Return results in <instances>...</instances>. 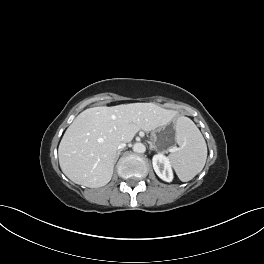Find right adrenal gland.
<instances>
[{"label":"right adrenal gland","instance_id":"1","mask_svg":"<svg viewBox=\"0 0 264 264\" xmlns=\"http://www.w3.org/2000/svg\"><path fill=\"white\" fill-rule=\"evenodd\" d=\"M121 151H122V150H118V152H117V156H116V159H115V163L117 162V160H118V158H119V156H120Z\"/></svg>","mask_w":264,"mask_h":264}]
</instances>
